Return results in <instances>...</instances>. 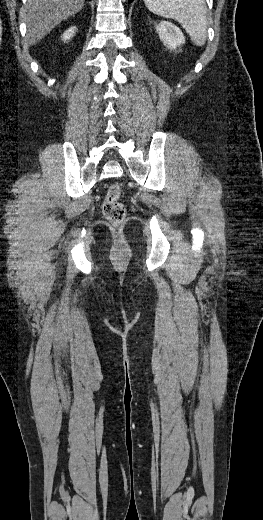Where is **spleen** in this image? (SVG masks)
Listing matches in <instances>:
<instances>
[{
  "mask_svg": "<svg viewBox=\"0 0 263 520\" xmlns=\"http://www.w3.org/2000/svg\"><path fill=\"white\" fill-rule=\"evenodd\" d=\"M149 11L178 21L197 46L207 37V6L205 0H143Z\"/></svg>",
  "mask_w": 263,
  "mask_h": 520,
  "instance_id": "spleen-1",
  "label": "spleen"
}]
</instances>
